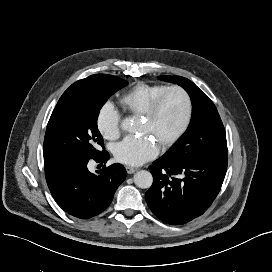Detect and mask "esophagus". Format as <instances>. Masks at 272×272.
<instances>
[{"label":"esophagus","instance_id":"esophagus-1","mask_svg":"<svg viewBox=\"0 0 272 272\" xmlns=\"http://www.w3.org/2000/svg\"><path fill=\"white\" fill-rule=\"evenodd\" d=\"M138 169L137 168H134V167H130V166H127L126 167V171L128 174H133L137 171Z\"/></svg>","mask_w":272,"mask_h":272}]
</instances>
